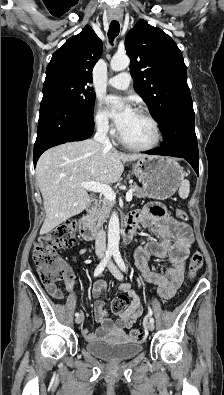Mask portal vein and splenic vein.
<instances>
[{
    "mask_svg": "<svg viewBox=\"0 0 224 395\" xmlns=\"http://www.w3.org/2000/svg\"><path fill=\"white\" fill-rule=\"evenodd\" d=\"M80 185L83 188H85L87 191L102 193L104 195V197L109 201L114 202L116 200V194L109 185L97 183L95 181L81 183ZM133 192H134V190L130 189L126 193V201L130 202L132 200Z\"/></svg>",
    "mask_w": 224,
    "mask_h": 395,
    "instance_id": "1",
    "label": "portal vein and splenic vein"
}]
</instances>
